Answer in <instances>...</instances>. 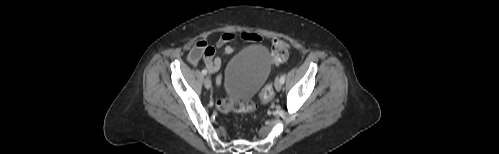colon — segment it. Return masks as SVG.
<instances>
[{"mask_svg": "<svg viewBox=\"0 0 499 154\" xmlns=\"http://www.w3.org/2000/svg\"><path fill=\"white\" fill-rule=\"evenodd\" d=\"M214 49L209 47L205 42H197L192 49L191 56L194 59L203 57L204 60H210L214 57ZM272 57L274 63L284 62L288 57V47L285 42L279 39L273 41L272 46ZM260 101L262 104H267L273 97L272 89L270 85H266L259 94ZM217 110L223 114L230 112L235 113H250L256 109V105L251 100H231L228 98H223L216 103Z\"/></svg>", "mask_w": 499, "mask_h": 154, "instance_id": "1", "label": "colon"}]
</instances>
